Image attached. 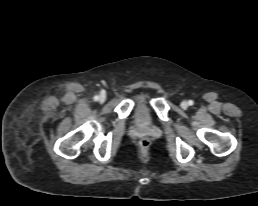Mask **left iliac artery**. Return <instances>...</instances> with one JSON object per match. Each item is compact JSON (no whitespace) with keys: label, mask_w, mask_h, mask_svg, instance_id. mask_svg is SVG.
Returning <instances> with one entry per match:
<instances>
[{"label":"left iliac artery","mask_w":258,"mask_h":206,"mask_svg":"<svg viewBox=\"0 0 258 206\" xmlns=\"http://www.w3.org/2000/svg\"><path fill=\"white\" fill-rule=\"evenodd\" d=\"M193 103L194 102L192 100H189V102H188L189 105H193Z\"/></svg>","instance_id":"1"}]
</instances>
